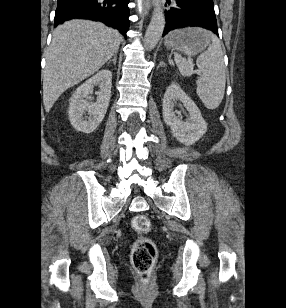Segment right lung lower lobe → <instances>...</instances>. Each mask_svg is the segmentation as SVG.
<instances>
[{"instance_id": "98d812e1", "label": "right lung lower lobe", "mask_w": 286, "mask_h": 308, "mask_svg": "<svg viewBox=\"0 0 286 308\" xmlns=\"http://www.w3.org/2000/svg\"><path fill=\"white\" fill-rule=\"evenodd\" d=\"M129 0H58L54 26L74 18L100 21L125 37L129 29Z\"/></svg>"}]
</instances>
